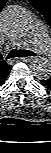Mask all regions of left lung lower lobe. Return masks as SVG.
Returning a JSON list of instances; mask_svg holds the SVG:
<instances>
[{"instance_id":"1","label":"left lung lower lobe","mask_w":51,"mask_h":153,"mask_svg":"<svg viewBox=\"0 0 51 153\" xmlns=\"http://www.w3.org/2000/svg\"><path fill=\"white\" fill-rule=\"evenodd\" d=\"M40 81L47 89H51V77Z\"/></svg>"}]
</instances>
